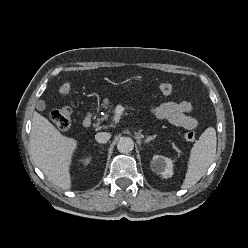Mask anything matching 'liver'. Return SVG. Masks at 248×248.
<instances>
[{
  "label": "liver",
  "mask_w": 248,
  "mask_h": 248,
  "mask_svg": "<svg viewBox=\"0 0 248 248\" xmlns=\"http://www.w3.org/2000/svg\"><path fill=\"white\" fill-rule=\"evenodd\" d=\"M77 140L62 135L48 119L33 113L30 153L47 179L62 189L71 188L70 165Z\"/></svg>",
  "instance_id": "1"
}]
</instances>
